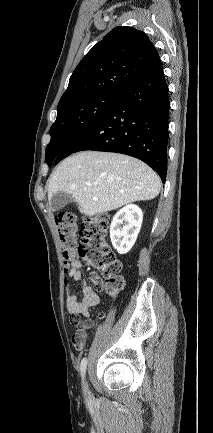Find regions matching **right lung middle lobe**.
Returning a JSON list of instances; mask_svg holds the SVG:
<instances>
[{"mask_svg": "<svg viewBox=\"0 0 213 433\" xmlns=\"http://www.w3.org/2000/svg\"><path fill=\"white\" fill-rule=\"evenodd\" d=\"M121 94L99 93L57 108V118L50 128L45 161H52L79 135L99 121L120 99Z\"/></svg>", "mask_w": 213, "mask_h": 433, "instance_id": "right-lung-middle-lobe-1", "label": "right lung middle lobe"}]
</instances>
